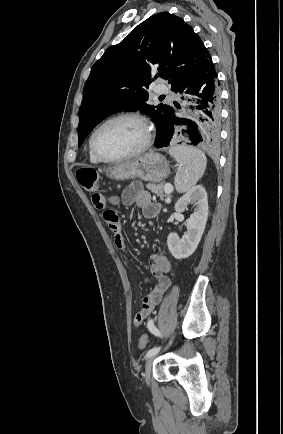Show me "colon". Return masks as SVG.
I'll use <instances>...</instances> for the list:
<instances>
[{"label":"colon","mask_w":283,"mask_h":434,"mask_svg":"<svg viewBox=\"0 0 283 434\" xmlns=\"http://www.w3.org/2000/svg\"><path fill=\"white\" fill-rule=\"evenodd\" d=\"M77 180L80 183V185L83 187L84 190H86L89 193H95L98 188V174L93 169H79L77 171ZM148 343V336L147 334L143 333L141 334L139 340H138V347L140 349H144Z\"/></svg>","instance_id":"colon-1"}]
</instances>
